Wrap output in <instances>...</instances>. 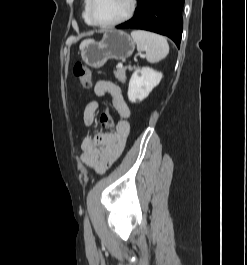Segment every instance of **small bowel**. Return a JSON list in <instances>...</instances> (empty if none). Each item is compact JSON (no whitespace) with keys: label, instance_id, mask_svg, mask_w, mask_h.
<instances>
[{"label":"small bowel","instance_id":"obj_1","mask_svg":"<svg viewBox=\"0 0 247 265\" xmlns=\"http://www.w3.org/2000/svg\"><path fill=\"white\" fill-rule=\"evenodd\" d=\"M98 97L110 95L113 106L118 115V122L113 132L96 133L86 136L81 143V162L90 169L102 174L122 154L130 132L128 118L130 108L125 101L122 91L116 84L100 80L94 86ZM99 104L96 100L90 101L83 112V123L91 126Z\"/></svg>","mask_w":247,"mask_h":265}]
</instances>
